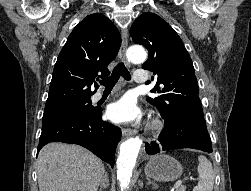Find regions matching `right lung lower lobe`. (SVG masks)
<instances>
[{
  "label": "right lung lower lobe",
  "instance_id": "obj_1",
  "mask_svg": "<svg viewBox=\"0 0 251 191\" xmlns=\"http://www.w3.org/2000/svg\"><path fill=\"white\" fill-rule=\"evenodd\" d=\"M101 117L102 111L98 110L91 115H68L42 124L37 154L50 142L74 143L87 148L113 167L121 130L103 122Z\"/></svg>",
  "mask_w": 251,
  "mask_h": 191
}]
</instances>
